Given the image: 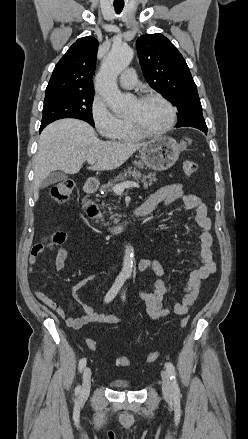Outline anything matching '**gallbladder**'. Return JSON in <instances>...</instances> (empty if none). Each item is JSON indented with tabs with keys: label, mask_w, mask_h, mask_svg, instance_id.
<instances>
[{
	"label": "gallbladder",
	"mask_w": 248,
	"mask_h": 439,
	"mask_svg": "<svg viewBox=\"0 0 248 439\" xmlns=\"http://www.w3.org/2000/svg\"><path fill=\"white\" fill-rule=\"evenodd\" d=\"M66 178V175L60 171L50 173L41 183V188H46L51 184L60 182Z\"/></svg>",
	"instance_id": "1"
}]
</instances>
